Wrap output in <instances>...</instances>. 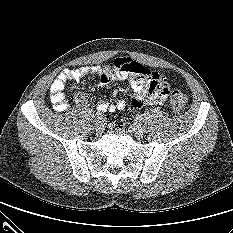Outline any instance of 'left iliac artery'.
<instances>
[{
    "mask_svg": "<svg viewBox=\"0 0 233 233\" xmlns=\"http://www.w3.org/2000/svg\"><path fill=\"white\" fill-rule=\"evenodd\" d=\"M136 120H137L139 123H141V122L143 121V117H142V116H138V117L136 118Z\"/></svg>",
    "mask_w": 233,
    "mask_h": 233,
    "instance_id": "obj_1",
    "label": "left iliac artery"
}]
</instances>
